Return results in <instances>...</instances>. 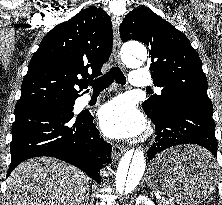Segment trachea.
Returning a JSON list of instances; mask_svg holds the SVG:
<instances>
[{"label":"trachea","instance_id":"1","mask_svg":"<svg viewBox=\"0 0 222 205\" xmlns=\"http://www.w3.org/2000/svg\"><path fill=\"white\" fill-rule=\"evenodd\" d=\"M114 81L121 85L126 84V77L117 66L111 67L106 75L95 81H90L89 84L93 87L94 90H104Z\"/></svg>","mask_w":222,"mask_h":205}]
</instances>
